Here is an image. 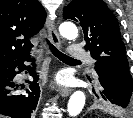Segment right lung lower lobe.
<instances>
[{
  "instance_id": "right-lung-lower-lobe-1",
  "label": "right lung lower lobe",
  "mask_w": 133,
  "mask_h": 118,
  "mask_svg": "<svg viewBox=\"0 0 133 118\" xmlns=\"http://www.w3.org/2000/svg\"><path fill=\"white\" fill-rule=\"evenodd\" d=\"M25 61H31L30 55L3 67V72L0 74V114L12 118H30L36 109L40 96L38 76L33 68L24 65ZM17 69L19 71H16ZM25 69L34 80L27 81L29 89L23 90L24 85L15 82L14 77Z\"/></svg>"
}]
</instances>
